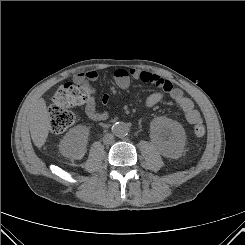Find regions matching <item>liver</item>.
Instances as JSON below:
<instances>
[{
    "label": "liver",
    "mask_w": 245,
    "mask_h": 245,
    "mask_svg": "<svg viewBox=\"0 0 245 245\" xmlns=\"http://www.w3.org/2000/svg\"><path fill=\"white\" fill-rule=\"evenodd\" d=\"M50 119L44 99L37 100L30 115V133L34 145L41 148L48 137Z\"/></svg>",
    "instance_id": "liver-1"
}]
</instances>
